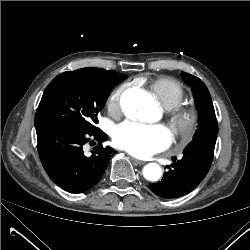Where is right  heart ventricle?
I'll return each instance as SVG.
<instances>
[{"mask_svg":"<svg viewBox=\"0 0 250 250\" xmlns=\"http://www.w3.org/2000/svg\"><path fill=\"white\" fill-rule=\"evenodd\" d=\"M148 83L151 94L166 110L182 103L185 98L184 88L173 78L159 77Z\"/></svg>","mask_w":250,"mask_h":250,"instance_id":"1","label":"right heart ventricle"}]
</instances>
